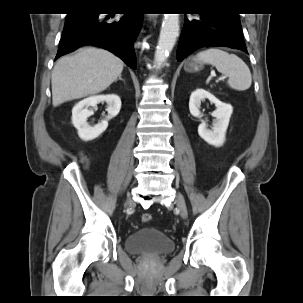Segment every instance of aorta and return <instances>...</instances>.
<instances>
[{"label": "aorta", "instance_id": "obj_1", "mask_svg": "<svg viewBox=\"0 0 303 303\" xmlns=\"http://www.w3.org/2000/svg\"><path fill=\"white\" fill-rule=\"evenodd\" d=\"M179 35V14H164L157 49L155 63L160 66L172 51Z\"/></svg>", "mask_w": 303, "mask_h": 303}]
</instances>
